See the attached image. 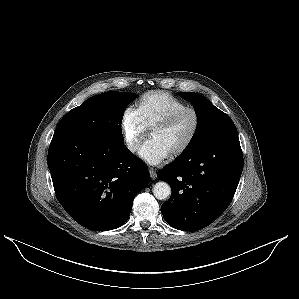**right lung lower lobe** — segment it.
Returning a JSON list of instances; mask_svg holds the SVG:
<instances>
[{"label": "right lung lower lobe", "instance_id": "obj_1", "mask_svg": "<svg viewBox=\"0 0 299 299\" xmlns=\"http://www.w3.org/2000/svg\"><path fill=\"white\" fill-rule=\"evenodd\" d=\"M48 166L65 211L94 231L123 225L149 183L147 166L124 143L68 132L54 133Z\"/></svg>", "mask_w": 299, "mask_h": 299}]
</instances>
